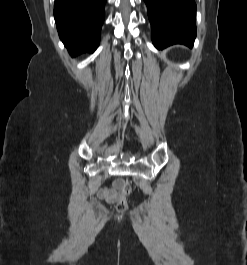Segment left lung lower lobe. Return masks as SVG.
I'll use <instances>...</instances> for the list:
<instances>
[{"label": "left lung lower lobe", "instance_id": "1", "mask_svg": "<svg viewBox=\"0 0 247 265\" xmlns=\"http://www.w3.org/2000/svg\"><path fill=\"white\" fill-rule=\"evenodd\" d=\"M152 28V41L163 49L173 44L192 47L196 37L194 0H144Z\"/></svg>", "mask_w": 247, "mask_h": 265}]
</instances>
